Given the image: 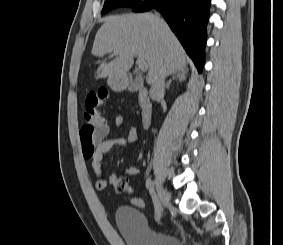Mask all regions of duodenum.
<instances>
[{"label": "duodenum", "mask_w": 283, "mask_h": 245, "mask_svg": "<svg viewBox=\"0 0 283 245\" xmlns=\"http://www.w3.org/2000/svg\"><path fill=\"white\" fill-rule=\"evenodd\" d=\"M123 86L130 90L138 93V103L141 110V121L142 125L146 128L149 126L151 121L152 107L148 94V90L138 85L132 76L128 75L122 82Z\"/></svg>", "instance_id": "duodenum-1"}]
</instances>
